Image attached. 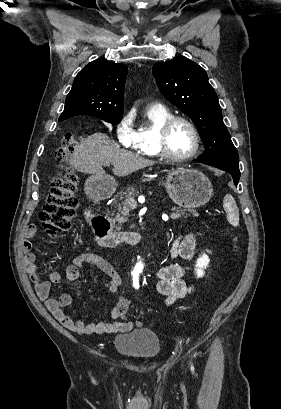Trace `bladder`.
Wrapping results in <instances>:
<instances>
[{
    "mask_svg": "<svg viewBox=\"0 0 281 409\" xmlns=\"http://www.w3.org/2000/svg\"><path fill=\"white\" fill-rule=\"evenodd\" d=\"M113 348L117 354L138 361H150L162 354L159 335L151 328H129L114 336Z\"/></svg>",
    "mask_w": 281,
    "mask_h": 409,
    "instance_id": "31cf9c89",
    "label": "bladder"
}]
</instances>
